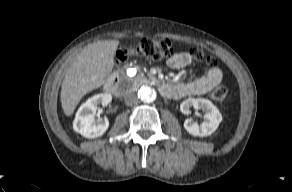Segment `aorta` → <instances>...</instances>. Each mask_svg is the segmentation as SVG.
<instances>
[{
    "label": "aorta",
    "instance_id": "aorta-1",
    "mask_svg": "<svg viewBox=\"0 0 292 192\" xmlns=\"http://www.w3.org/2000/svg\"><path fill=\"white\" fill-rule=\"evenodd\" d=\"M156 96H157V94H156L155 89L150 87V86H147V85L142 86L138 90V97L144 103H151V102L155 101Z\"/></svg>",
    "mask_w": 292,
    "mask_h": 192
}]
</instances>
